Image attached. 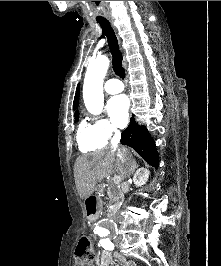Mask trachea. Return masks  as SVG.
<instances>
[{"instance_id":"1","label":"trachea","mask_w":221,"mask_h":266,"mask_svg":"<svg viewBox=\"0 0 221 266\" xmlns=\"http://www.w3.org/2000/svg\"><path fill=\"white\" fill-rule=\"evenodd\" d=\"M97 22L100 24L104 35L107 37L108 46H109L110 52L112 54V59H113L112 60L113 70L116 75H118L121 78H124L125 70L122 67L123 58H122V54L119 49L118 40L115 35V32L112 29L109 21L99 20Z\"/></svg>"}]
</instances>
